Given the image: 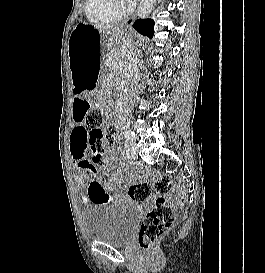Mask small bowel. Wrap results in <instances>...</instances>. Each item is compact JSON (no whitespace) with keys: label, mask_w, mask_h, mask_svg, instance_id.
Here are the masks:
<instances>
[{"label":"small bowel","mask_w":265,"mask_h":273,"mask_svg":"<svg viewBox=\"0 0 265 273\" xmlns=\"http://www.w3.org/2000/svg\"><path fill=\"white\" fill-rule=\"evenodd\" d=\"M87 104H89V99H86V95H75L74 104H72L73 110H70L73 124H76L70 137V152L73 165L77 171L78 183L83 189L81 203L84 206L113 204L114 200L124 199V194L120 190L123 179L119 174H112L108 179L94 177L97 166L94 165L96 164L94 160L91 161L88 158V129L83 125L85 112H88ZM102 167L106 172L111 170L110 167ZM87 182L88 190H85Z\"/></svg>","instance_id":"obj_1"}]
</instances>
